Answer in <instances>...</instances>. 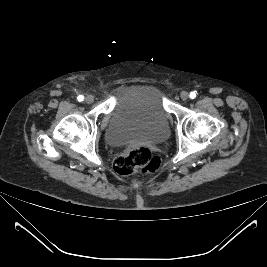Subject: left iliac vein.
<instances>
[{
  "instance_id": "left-iliac-vein-1",
  "label": "left iliac vein",
  "mask_w": 267,
  "mask_h": 267,
  "mask_svg": "<svg viewBox=\"0 0 267 267\" xmlns=\"http://www.w3.org/2000/svg\"><path fill=\"white\" fill-rule=\"evenodd\" d=\"M180 97L183 101H186L189 98V94L185 91L181 92Z\"/></svg>"
}]
</instances>
